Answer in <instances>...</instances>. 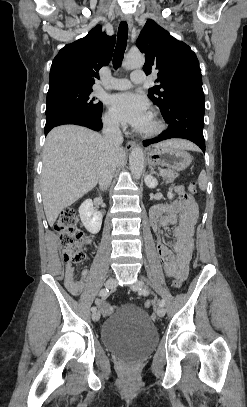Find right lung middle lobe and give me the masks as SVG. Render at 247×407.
Segmentation results:
<instances>
[{
    "label": "right lung middle lobe",
    "instance_id": "dd1d6c3e",
    "mask_svg": "<svg viewBox=\"0 0 247 407\" xmlns=\"http://www.w3.org/2000/svg\"><path fill=\"white\" fill-rule=\"evenodd\" d=\"M92 88H59L47 93L46 116L60 111H78L87 114H99L103 105L90 94Z\"/></svg>",
    "mask_w": 247,
    "mask_h": 407
}]
</instances>
